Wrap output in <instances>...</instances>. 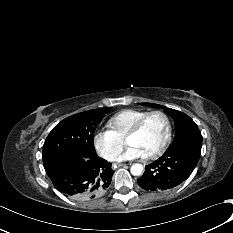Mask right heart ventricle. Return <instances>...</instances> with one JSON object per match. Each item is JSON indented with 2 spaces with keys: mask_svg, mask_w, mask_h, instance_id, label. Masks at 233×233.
<instances>
[{
  "mask_svg": "<svg viewBox=\"0 0 233 233\" xmlns=\"http://www.w3.org/2000/svg\"><path fill=\"white\" fill-rule=\"evenodd\" d=\"M146 113V110L141 109L122 110L109 119L108 126L117 137L123 139L134 123Z\"/></svg>",
  "mask_w": 233,
  "mask_h": 233,
  "instance_id": "right-heart-ventricle-1",
  "label": "right heart ventricle"
}]
</instances>
